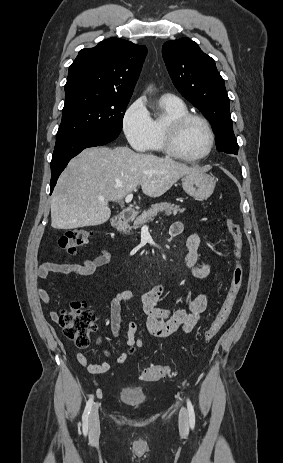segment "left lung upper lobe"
Returning a JSON list of instances; mask_svg holds the SVG:
<instances>
[{
    "mask_svg": "<svg viewBox=\"0 0 283 463\" xmlns=\"http://www.w3.org/2000/svg\"><path fill=\"white\" fill-rule=\"evenodd\" d=\"M162 55L175 87L210 121L217 150L238 154L229 98L214 60L189 38L164 43Z\"/></svg>",
    "mask_w": 283,
    "mask_h": 463,
    "instance_id": "5c2ea615",
    "label": "left lung upper lobe"
}]
</instances>
